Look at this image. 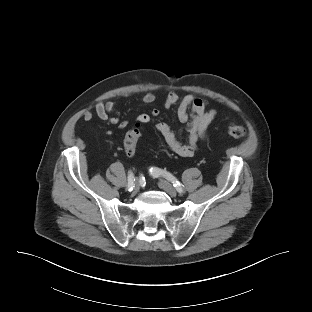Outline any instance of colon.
Here are the masks:
<instances>
[{"label": "colon", "instance_id": "1", "mask_svg": "<svg viewBox=\"0 0 312 312\" xmlns=\"http://www.w3.org/2000/svg\"><path fill=\"white\" fill-rule=\"evenodd\" d=\"M227 133L229 136L236 138V139H242L247 135V131L245 127L230 123L227 126ZM141 136V127L139 124H136L133 126L125 135L124 138V150L125 153L132 157L136 153V146L138 139Z\"/></svg>", "mask_w": 312, "mask_h": 312}]
</instances>
